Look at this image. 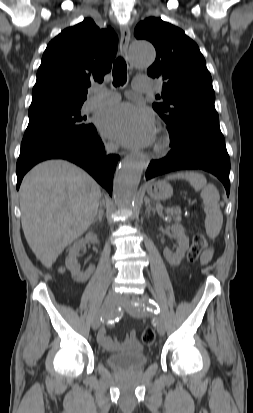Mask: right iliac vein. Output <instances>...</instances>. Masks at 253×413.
<instances>
[{
  "instance_id": "63e3f726",
  "label": "right iliac vein",
  "mask_w": 253,
  "mask_h": 413,
  "mask_svg": "<svg viewBox=\"0 0 253 413\" xmlns=\"http://www.w3.org/2000/svg\"><path fill=\"white\" fill-rule=\"evenodd\" d=\"M118 304V297L115 293H108L105 297L99 315L94 319L92 328L98 329L101 324V317L108 315Z\"/></svg>"
}]
</instances>
